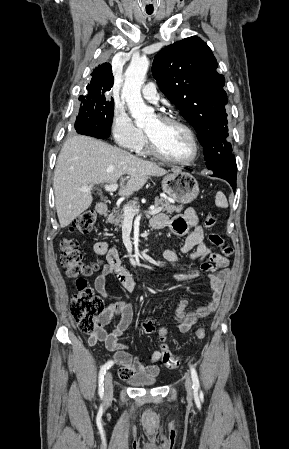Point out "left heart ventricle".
Here are the masks:
<instances>
[{
	"mask_svg": "<svg viewBox=\"0 0 289 449\" xmlns=\"http://www.w3.org/2000/svg\"><path fill=\"white\" fill-rule=\"evenodd\" d=\"M145 131L168 157L187 160L193 155L191 139L181 127L161 122L157 117L145 127Z\"/></svg>",
	"mask_w": 289,
	"mask_h": 449,
	"instance_id": "obj_1",
	"label": "left heart ventricle"
}]
</instances>
